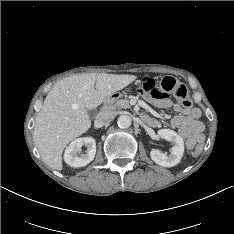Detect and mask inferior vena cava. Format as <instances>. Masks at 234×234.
Wrapping results in <instances>:
<instances>
[{
  "label": "inferior vena cava",
  "mask_w": 234,
  "mask_h": 234,
  "mask_svg": "<svg viewBox=\"0 0 234 234\" xmlns=\"http://www.w3.org/2000/svg\"><path fill=\"white\" fill-rule=\"evenodd\" d=\"M114 119V114L110 111H101L97 114L95 124L99 127L110 123Z\"/></svg>",
  "instance_id": "obj_1"
}]
</instances>
